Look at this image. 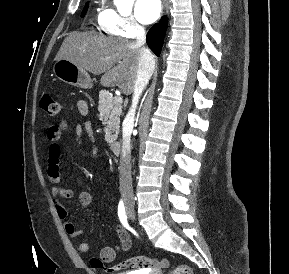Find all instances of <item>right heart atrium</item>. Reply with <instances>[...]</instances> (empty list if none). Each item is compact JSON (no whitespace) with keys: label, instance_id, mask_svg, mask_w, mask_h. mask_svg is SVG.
<instances>
[{"label":"right heart atrium","instance_id":"d8ad5b80","mask_svg":"<svg viewBox=\"0 0 289 274\" xmlns=\"http://www.w3.org/2000/svg\"><path fill=\"white\" fill-rule=\"evenodd\" d=\"M102 28L112 34L134 38L142 31V26L131 15H123L113 8H106L101 23Z\"/></svg>","mask_w":289,"mask_h":274}]
</instances>
